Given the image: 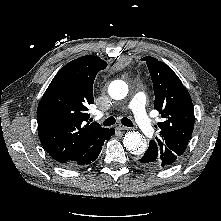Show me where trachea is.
Listing matches in <instances>:
<instances>
[{"mask_svg":"<svg viewBox=\"0 0 221 221\" xmlns=\"http://www.w3.org/2000/svg\"><path fill=\"white\" fill-rule=\"evenodd\" d=\"M116 122V119L114 117H109L107 118L104 122H103V125L104 126H111V125H114ZM121 123L124 125V126H127V127H133V123L130 119L124 117L121 119Z\"/></svg>","mask_w":221,"mask_h":221,"instance_id":"3493384b","label":"trachea"}]
</instances>
